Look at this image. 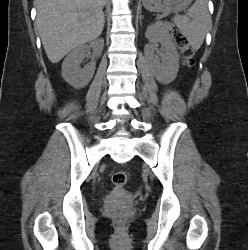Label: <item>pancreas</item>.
Returning <instances> with one entry per match:
<instances>
[{
    "label": "pancreas",
    "instance_id": "1",
    "mask_svg": "<svg viewBox=\"0 0 248 250\" xmlns=\"http://www.w3.org/2000/svg\"><path fill=\"white\" fill-rule=\"evenodd\" d=\"M167 29H171L172 25L170 23H164L163 24Z\"/></svg>",
    "mask_w": 248,
    "mask_h": 250
}]
</instances>
